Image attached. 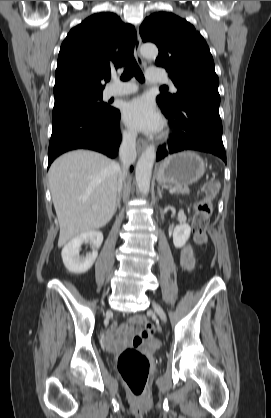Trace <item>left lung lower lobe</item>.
I'll use <instances>...</instances> for the list:
<instances>
[{"label": "left lung lower lobe", "instance_id": "0a47b994", "mask_svg": "<svg viewBox=\"0 0 271 418\" xmlns=\"http://www.w3.org/2000/svg\"><path fill=\"white\" fill-rule=\"evenodd\" d=\"M162 111L170 120L173 133L167 144L158 149L157 161L179 151L197 150L212 153L226 162L219 106L187 99L175 111L163 108Z\"/></svg>", "mask_w": 271, "mask_h": 418}]
</instances>
